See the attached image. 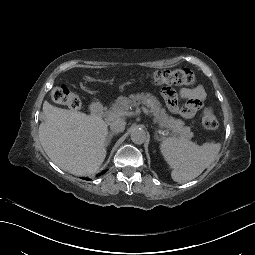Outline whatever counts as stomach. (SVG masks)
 <instances>
[{
	"mask_svg": "<svg viewBox=\"0 0 255 255\" xmlns=\"http://www.w3.org/2000/svg\"><path fill=\"white\" fill-rule=\"evenodd\" d=\"M110 88H111L112 90H117V89L119 88V83H118L117 81H112V82L110 83Z\"/></svg>",
	"mask_w": 255,
	"mask_h": 255,
	"instance_id": "stomach-1",
	"label": "stomach"
}]
</instances>
